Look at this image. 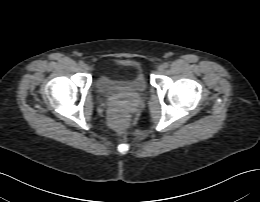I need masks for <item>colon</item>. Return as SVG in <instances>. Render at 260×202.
<instances>
[{
    "instance_id": "1",
    "label": "colon",
    "mask_w": 260,
    "mask_h": 202,
    "mask_svg": "<svg viewBox=\"0 0 260 202\" xmlns=\"http://www.w3.org/2000/svg\"><path fill=\"white\" fill-rule=\"evenodd\" d=\"M110 121L111 123L121 128L123 127L127 122V113L123 109L114 110L110 113Z\"/></svg>"
}]
</instances>
